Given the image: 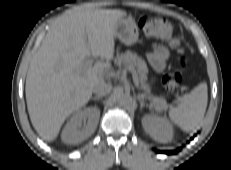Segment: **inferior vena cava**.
Here are the masks:
<instances>
[{
	"label": "inferior vena cava",
	"instance_id": "inferior-vena-cava-1",
	"mask_svg": "<svg viewBox=\"0 0 231 170\" xmlns=\"http://www.w3.org/2000/svg\"><path fill=\"white\" fill-rule=\"evenodd\" d=\"M111 90H112V85L105 83L103 80L96 83L93 87V92L97 96H101V97L109 94Z\"/></svg>",
	"mask_w": 231,
	"mask_h": 170
}]
</instances>
